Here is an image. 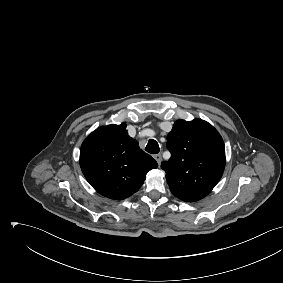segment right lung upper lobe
Listing matches in <instances>:
<instances>
[{
  "label": "right lung upper lobe",
  "instance_id": "1",
  "mask_svg": "<svg viewBox=\"0 0 283 283\" xmlns=\"http://www.w3.org/2000/svg\"><path fill=\"white\" fill-rule=\"evenodd\" d=\"M80 166L98 193L123 200L140 189L147 172L158 164L140 150L122 123L99 127L85 139L80 149Z\"/></svg>",
  "mask_w": 283,
  "mask_h": 283
}]
</instances>
